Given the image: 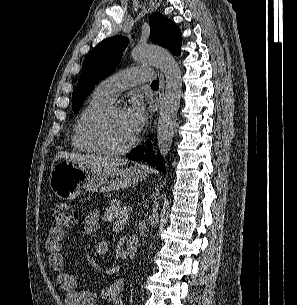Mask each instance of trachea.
Wrapping results in <instances>:
<instances>
[{
	"label": "trachea",
	"mask_w": 297,
	"mask_h": 305,
	"mask_svg": "<svg viewBox=\"0 0 297 305\" xmlns=\"http://www.w3.org/2000/svg\"><path fill=\"white\" fill-rule=\"evenodd\" d=\"M151 87H159V82L158 81H153L151 83Z\"/></svg>",
	"instance_id": "1"
}]
</instances>
